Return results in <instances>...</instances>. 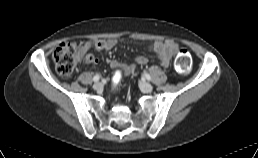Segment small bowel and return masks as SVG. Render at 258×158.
<instances>
[{
  "mask_svg": "<svg viewBox=\"0 0 258 158\" xmlns=\"http://www.w3.org/2000/svg\"><path fill=\"white\" fill-rule=\"evenodd\" d=\"M117 44L115 39H99L93 42L88 43V46H92L96 51L109 52ZM150 48L156 53L160 64L164 67H168L172 57L175 55L178 49L177 43L172 39H166L162 41H154ZM96 60H93L92 63H95ZM136 62L140 65H146L148 63V58L145 56H138ZM111 65L115 67L117 63L115 61L111 62ZM123 71H132L134 70L133 65H127L121 68Z\"/></svg>",
  "mask_w": 258,
  "mask_h": 158,
  "instance_id": "1",
  "label": "small bowel"
}]
</instances>
